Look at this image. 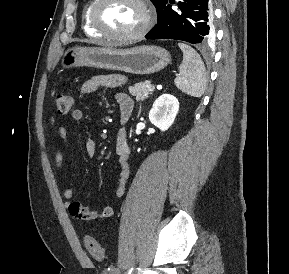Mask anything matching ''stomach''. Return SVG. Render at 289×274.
Returning <instances> with one entry per match:
<instances>
[{
	"instance_id": "0dacf381",
	"label": "stomach",
	"mask_w": 289,
	"mask_h": 274,
	"mask_svg": "<svg viewBox=\"0 0 289 274\" xmlns=\"http://www.w3.org/2000/svg\"><path fill=\"white\" fill-rule=\"evenodd\" d=\"M170 62V53L153 45L130 49L70 47L63 54L61 67L86 66L148 75L164 69Z\"/></svg>"
}]
</instances>
